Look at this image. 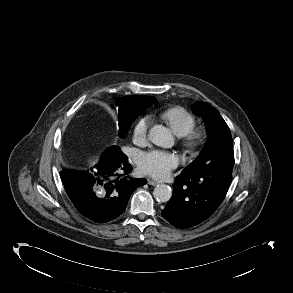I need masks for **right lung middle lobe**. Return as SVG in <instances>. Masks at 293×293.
<instances>
[{"mask_svg": "<svg viewBox=\"0 0 293 293\" xmlns=\"http://www.w3.org/2000/svg\"><path fill=\"white\" fill-rule=\"evenodd\" d=\"M142 111L136 112V113H130L126 116L122 117L119 120V126H120V135L123 137L126 134V129H128L130 123L140 115ZM116 148V147H115ZM118 150V148H116Z\"/></svg>", "mask_w": 293, "mask_h": 293, "instance_id": "1", "label": "right lung middle lobe"}]
</instances>
